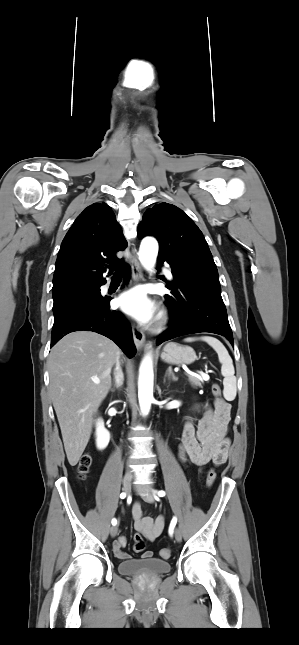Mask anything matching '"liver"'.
I'll return each mask as SVG.
<instances>
[{"mask_svg":"<svg viewBox=\"0 0 299 645\" xmlns=\"http://www.w3.org/2000/svg\"><path fill=\"white\" fill-rule=\"evenodd\" d=\"M118 356L113 341L91 331L66 335L50 352L49 391L71 466L78 463L88 444L93 416L109 392Z\"/></svg>","mask_w":299,"mask_h":645,"instance_id":"6515ba94","label":"liver"}]
</instances>
